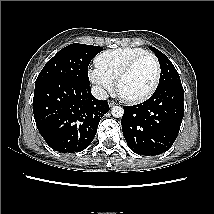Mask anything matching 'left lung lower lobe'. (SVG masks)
I'll list each match as a JSON object with an SVG mask.
<instances>
[{
	"label": "left lung lower lobe",
	"mask_w": 214,
	"mask_h": 214,
	"mask_svg": "<svg viewBox=\"0 0 214 214\" xmlns=\"http://www.w3.org/2000/svg\"><path fill=\"white\" fill-rule=\"evenodd\" d=\"M184 90L181 83L156 89L145 102L123 106L121 120L129 148L138 154L153 156L173 145L184 116Z\"/></svg>",
	"instance_id": "0a47b994"
}]
</instances>
